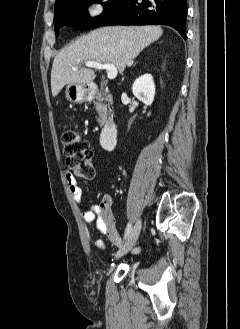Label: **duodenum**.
Wrapping results in <instances>:
<instances>
[{"label":"duodenum","mask_w":240,"mask_h":329,"mask_svg":"<svg viewBox=\"0 0 240 329\" xmlns=\"http://www.w3.org/2000/svg\"><path fill=\"white\" fill-rule=\"evenodd\" d=\"M97 91V86H91L87 92V100H93ZM117 132V127L113 123L105 124L100 136L101 146L104 150L111 151L114 148Z\"/></svg>","instance_id":"duodenum-1"}]
</instances>
